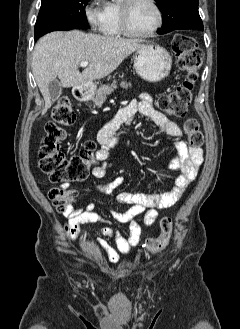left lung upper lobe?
Listing matches in <instances>:
<instances>
[{
	"label": "left lung upper lobe",
	"mask_w": 240,
	"mask_h": 329,
	"mask_svg": "<svg viewBox=\"0 0 240 329\" xmlns=\"http://www.w3.org/2000/svg\"><path fill=\"white\" fill-rule=\"evenodd\" d=\"M162 12L163 26L157 32L165 34L176 29L203 30L198 12V0H155Z\"/></svg>",
	"instance_id": "left-lung-upper-lobe-1"
}]
</instances>
